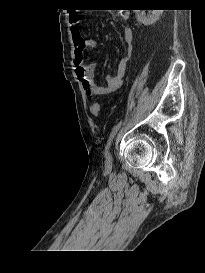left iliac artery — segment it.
Wrapping results in <instances>:
<instances>
[{"mask_svg": "<svg viewBox=\"0 0 205 273\" xmlns=\"http://www.w3.org/2000/svg\"><path fill=\"white\" fill-rule=\"evenodd\" d=\"M121 125H122V121H120V122H119L117 125H115L114 128L112 129V132H111V134H110V136H109V139H108V141H107V145H106V147H105V154L108 153L110 144H111V142H112L114 136H115L116 133L118 132L119 128L121 127Z\"/></svg>", "mask_w": 205, "mask_h": 273, "instance_id": "1", "label": "left iliac artery"}]
</instances>
